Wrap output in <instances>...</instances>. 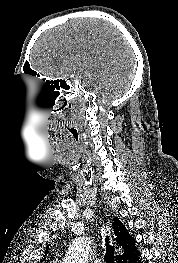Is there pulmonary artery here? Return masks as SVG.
Wrapping results in <instances>:
<instances>
[{
	"label": "pulmonary artery",
	"mask_w": 178,
	"mask_h": 263,
	"mask_svg": "<svg viewBox=\"0 0 178 263\" xmlns=\"http://www.w3.org/2000/svg\"><path fill=\"white\" fill-rule=\"evenodd\" d=\"M94 263H103V261L101 259H95Z\"/></svg>",
	"instance_id": "1"
}]
</instances>
